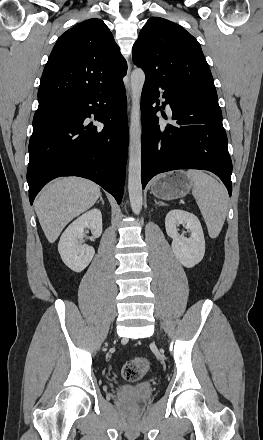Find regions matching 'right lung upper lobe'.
I'll list each match as a JSON object with an SVG mask.
<instances>
[{"label":"right lung upper lobe","instance_id":"obj_1","mask_svg":"<svg viewBox=\"0 0 263 440\" xmlns=\"http://www.w3.org/2000/svg\"><path fill=\"white\" fill-rule=\"evenodd\" d=\"M126 72L127 63L106 24L83 21L56 42L41 77L38 107L106 88Z\"/></svg>","mask_w":263,"mask_h":440}]
</instances>
